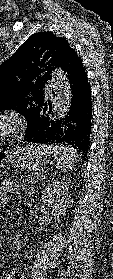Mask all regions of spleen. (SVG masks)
<instances>
[{
    "label": "spleen",
    "instance_id": "3e777b00",
    "mask_svg": "<svg viewBox=\"0 0 113 279\" xmlns=\"http://www.w3.org/2000/svg\"><path fill=\"white\" fill-rule=\"evenodd\" d=\"M44 149L53 154L56 159V168L62 171H67L75 166L78 158L76 149L69 146L58 145H43Z\"/></svg>",
    "mask_w": 113,
    "mask_h": 279
}]
</instances>
